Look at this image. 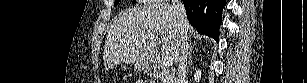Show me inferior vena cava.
<instances>
[{"instance_id": "602c4592", "label": "inferior vena cava", "mask_w": 307, "mask_h": 83, "mask_svg": "<svg viewBox=\"0 0 307 83\" xmlns=\"http://www.w3.org/2000/svg\"><path fill=\"white\" fill-rule=\"evenodd\" d=\"M172 6L179 19V33L180 41L178 51L176 55V61L178 63V83H183L186 79L187 60L190 52L188 27L189 22L186 16V10L181 0H173Z\"/></svg>"}]
</instances>
